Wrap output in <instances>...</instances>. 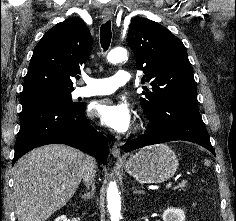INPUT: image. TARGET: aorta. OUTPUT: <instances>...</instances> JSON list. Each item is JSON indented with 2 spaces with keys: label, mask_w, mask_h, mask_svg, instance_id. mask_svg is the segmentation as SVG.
<instances>
[{
  "label": "aorta",
  "mask_w": 236,
  "mask_h": 221,
  "mask_svg": "<svg viewBox=\"0 0 236 221\" xmlns=\"http://www.w3.org/2000/svg\"><path fill=\"white\" fill-rule=\"evenodd\" d=\"M127 59V51L124 48H115L111 50L107 56L110 63H119ZM108 211L111 221H119L121 202L119 190L116 182H110L107 189Z\"/></svg>",
  "instance_id": "obj_1"
}]
</instances>
